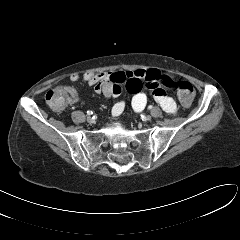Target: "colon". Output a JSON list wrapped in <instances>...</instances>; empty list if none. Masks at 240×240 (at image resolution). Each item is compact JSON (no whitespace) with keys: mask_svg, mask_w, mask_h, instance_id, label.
<instances>
[{"mask_svg":"<svg viewBox=\"0 0 240 240\" xmlns=\"http://www.w3.org/2000/svg\"><path fill=\"white\" fill-rule=\"evenodd\" d=\"M181 103L188 106L195 95L193 85L187 81H176L173 84ZM49 107L55 112L64 110L70 100V92L67 87H57L49 90L45 96Z\"/></svg>","mask_w":240,"mask_h":240,"instance_id":"5ec220e1","label":"colon"}]
</instances>
